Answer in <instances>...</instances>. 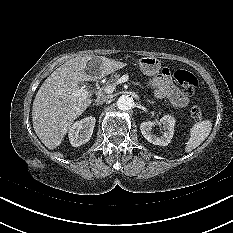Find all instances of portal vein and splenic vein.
Listing matches in <instances>:
<instances>
[{
	"label": "portal vein and splenic vein",
	"mask_w": 233,
	"mask_h": 233,
	"mask_svg": "<svg viewBox=\"0 0 233 233\" xmlns=\"http://www.w3.org/2000/svg\"><path fill=\"white\" fill-rule=\"evenodd\" d=\"M124 82V79L123 78H120L117 80L116 84H111V85H107L103 88H100V89H97L95 91V94H102V93H106V94H111L113 93L115 87L117 84H120V83H123ZM72 95H74L75 97H78L79 99L83 100V99H86L87 97H89L91 95V93L85 89V87H82L80 89H73L72 90Z\"/></svg>",
	"instance_id": "1"
}]
</instances>
